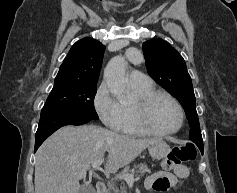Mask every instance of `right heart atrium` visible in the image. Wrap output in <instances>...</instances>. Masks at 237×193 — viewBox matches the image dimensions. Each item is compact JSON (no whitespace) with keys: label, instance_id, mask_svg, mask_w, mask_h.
<instances>
[{"label":"right heart atrium","instance_id":"obj_1","mask_svg":"<svg viewBox=\"0 0 237 193\" xmlns=\"http://www.w3.org/2000/svg\"><path fill=\"white\" fill-rule=\"evenodd\" d=\"M93 103L101 121L113 131L119 132L123 122L122 105L105 82L96 90Z\"/></svg>","mask_w":237,"mask_h":193}]
</instances>
